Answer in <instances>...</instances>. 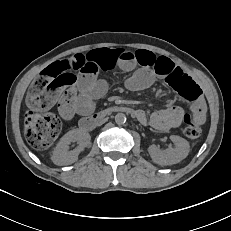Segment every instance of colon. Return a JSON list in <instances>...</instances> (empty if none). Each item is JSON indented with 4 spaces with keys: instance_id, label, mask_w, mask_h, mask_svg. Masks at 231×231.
<instances>
[{
    "instance_id": "colon-1",
    "label": "colon",
    "mask_w": 231,
    "mask_h": 231,
    "mask_svg": "<svg viewBox=\"0 0 231 231\" xmlns=\"http://www.w3.org/2000/svg\"><path fill=\"white\" fill-rule=\"evenodd\" d=\"M167 82L188 100L194 101L201 96L199 86L187 74H173ZM74 83V73L59 61L44 69L31 84L26 98L29 111L25 117L24 131L27 141L35 149L48 148L58 137L61 121L47 110L60 97L69 95ZM183 133L189 139H197L201 135V128L185 118Z\"/></svg>"
}]
</instances>
